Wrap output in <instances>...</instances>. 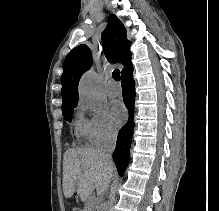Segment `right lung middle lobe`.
<instances>
[{
	"label": "right lung middle lobe",
	"instance_id": "dd1d6c3e",
	"mask_svg": "<svg viewBox=\"0 0 219 211\" xmlns=\"http://www.w3.org/2000/svg\"><path fill=\"white\" fill-rule=\"evenodd\" d=\"M78 102L62 105V113L64 118L71 122L74 107Z\"/></svg>",
	"mask_w": 219,
	"mask_h": 211
}]
</instances>
